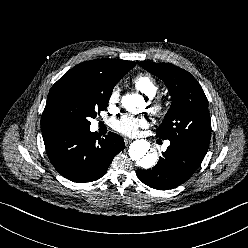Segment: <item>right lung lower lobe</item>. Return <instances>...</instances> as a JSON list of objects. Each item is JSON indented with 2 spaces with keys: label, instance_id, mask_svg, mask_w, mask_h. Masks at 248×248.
Instances as JSON below:
<instances>
[{
  "label": "right lung lower lobe",
  "instance_id": "right-lung-lower-lobe-1",
  "mask_svg": "<svg viewBox=\"0 0 248 248\" xmlns=\"http://www.w3.org/2000/svg\"><path fill=\"white\" fill-rule=\"evenodd\" d=\"M46 153L65 178L85 183L101 178L113 158L124 149L121 136L109 132L104 138L90 129H55L42 132Z\"/></svg>",
  "mask_w": 248,
  "mask_h": 248
}]
</instances>
